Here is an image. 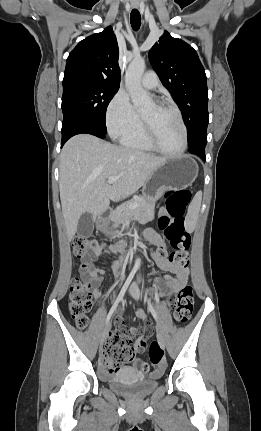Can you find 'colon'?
I'll return each mask as SVG.
<instances>
[{
    "mask_svg": "<svg viewBox=\"0 0 261 431\" xmlns=\"http://www.w3.org/2000/svg\"><path fill=\"white\" fill-rule=\"evenodd\" d=\"M189 190H171L165 195L168 216L159 220V228L169 240L173 251L168 259L177 266L187 267L189 263V248L191 236L184 227V213L190 202ZM102 244L85 237H76L72 242L74 254L83 259L82 268L90 264L94 251ZM158 253L167 256L166 251L160 249ZM91 283L88 280L75 277L70 285L69 312L79 328H86L89 322L88 313L92 307ZM168 303L174 306V318L178 323L187 322L193 311L194 296L191 285H184L176 296H170ZM151 366L147 360L132 362L137 373H146V382H155L163 377V366L166 353L157 342H152L149 348ZM133 357V345L125 334L111 332L103 349V367L109 373L117 372L121 365L129 362Z\"/></svg>",
    "mask_w": 261,
    "mask_h": 431,
    "instance_id": "1",
    "label": "colon"
}]
</instances>
